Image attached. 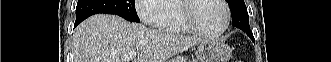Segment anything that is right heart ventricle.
I'll list each match as a JSON object with an SVG mask.
<instances>
[{
    "label": "right heart ventricle",
    "mask_w": 331,
    "mask_h": 62,
    "mask_svg": "<svg viewBox=\"0 0 331 62\" xmlns=\"http://www.w3.org/2000/svg\"><path fill=\"white\" fill-rule=\"evenodd\" d=\"M161 21L158 25V30L166 33H190L186 27L180 11L179 1H165L157 11Z\"/></svg>",
    "instance_id": "right-heart-ventricle-1"
}]
</instances>
